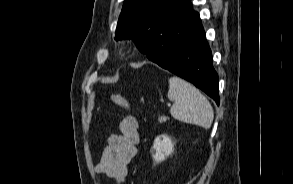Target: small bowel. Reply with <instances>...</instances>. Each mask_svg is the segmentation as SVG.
Here are the masks:
<instances>
[{"instance_id": "1", "label": "small bowel", "mask_w": 293, "mask_h": 184, "mask_svg": "<svg viewBox=\"0 0 293 184\" xmlns=\"http://www.w3.org/2000/svg\"><path fill=\"white\" fill-rule=\"evenodd\" d=\"M119 133L109 134L95 172L122 184L128 175V166L137 151L139 122L127 115L117 122Z\"/></svg>"}]
</instances>
